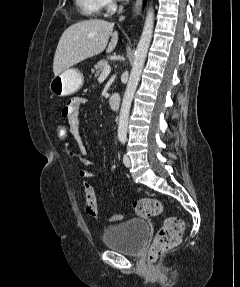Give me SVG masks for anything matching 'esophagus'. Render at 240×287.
Here are the masks:
<instances>
[{"instance_id": "esophagus-1", "label": "esophagus", "mask_w": 240, "mask_h": 287, "mask_svg": "<svg viewBox=\"0 0 240 287\" xmlns=\"http://www.w3.org/2000/svg\"><path fill=\"white\" fill-rule=\"evenodd\" d=\"M141 3H142V0H136V3L134 5V13H135V15L140 13Z\"/></svg>"}]
</instances>
